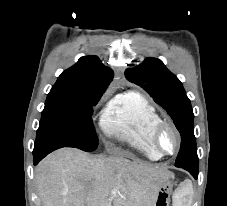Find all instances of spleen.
Returning <instances> with one entry per match:
<instances>
[{
  "label": "spleen",
  "instance_id": "1",
  "mask_svg": "<svg viewBox=\"0 0 227 206\" xmlns=\"http://www.w3.org/2000/svg\"><path fill=\"white\" fill-rule=\"evenodd\" d=\"M192 194L193 188L191 183L181 186L173 196V206H190Z\"/></svg>",
  "mask_w": 227,
  "mask_h": 206
}]
</instances>
